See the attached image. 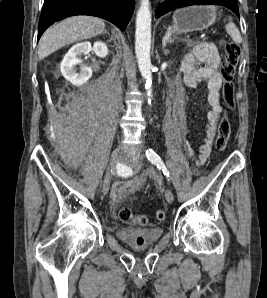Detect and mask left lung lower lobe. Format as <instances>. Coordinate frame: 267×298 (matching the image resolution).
<instances>
[{
  "mask_svg": "<svg viewBox=\"0 0 267 298\" xmlns=\"http://www.w3.org/2000/svg\"><path fill=\"white\" fill-rule=\"evenodd\" d=\"M196 4H216L225 6L231 9L239 17L237 0H169L159 5L155 17L161 16L175 8H182Z\"/></svg>",
  "mask_w": 267,
  "mask_h": 298,
  "instance_id": "1",
  "label": "left lung lower lobe"
}]
</instances>
